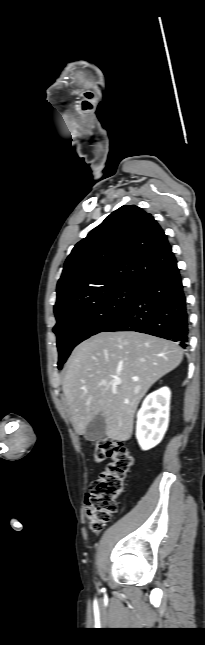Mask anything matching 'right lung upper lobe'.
<instances>
[{
	"label": "right lung upper lobe",
	"mask_w": 205,
	"mask_h": 645,
	"mask_svg": "<svg viewBox=\"0 0 205 645\" xmlns=\"http://www.w3.org/2000/svg\"><path fill=\"white\" fill-rule=\"evenodd\" d=\"M175 260L167 236L153 216L138 206L124 205L73 248L57 284L54 312L81 298L137 284Z\"/></svg>",
	"instance_id": "1"
}]
</instances>
